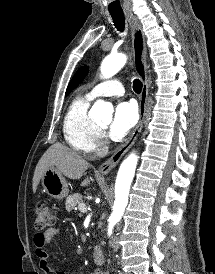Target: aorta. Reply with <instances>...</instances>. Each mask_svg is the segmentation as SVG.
<instances>
[{"label": "aorta", "mask_w": 215, "mask_h": 274, "mask_svg": "<svg viewBox=\"0 0 215 274\" xmlns=\"http://www.w3.org/2000/svg\"><path fill=\"white\" fill-rule=\"evenodd\" d=\"M127 57L123 53L110 54L101 63V74L104 78L115 75L125 65ZM113 107L103 100H97L92 106L89 116L94 120L110 122L112 120ZM138 157L131 153L121 164L115 183V202L110 215V226L120 221L128 204L130 186L135 174Z\"/></svg>", "instance_id": "1"}]
</instances>
